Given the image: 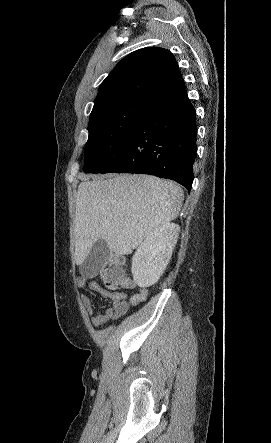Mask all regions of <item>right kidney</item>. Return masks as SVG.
Segmentation results:
<instances>
[{"instance_id": "obj_1", "label": "right kidney", "mask_w": 271, "mask_h": 443, "mask_svg": "<svg viewBox=\"0 0 271 443\" xmlns=\"http://www.w3.org/2000/svg\"><path fill=\"white\" fill-rule=\"evenodd\" d=\"M180 233L178 223H163L147 235L132 257V275L139 287H149L158 281L172 255Z\"/></svg>"}]
</instances>
